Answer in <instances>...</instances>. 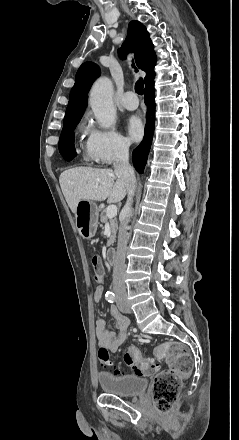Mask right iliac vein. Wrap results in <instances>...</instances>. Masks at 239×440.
<instances>
[{
  "mask_svg": "<svg viewBox=\"0 0 239 440\" xmlns=\"http://www.w3.org/2000/svg\"><path fill=\"white\" fill-rule=\"evenodd\" d=\"M123 307H124V309L130 311V307L127 303H123Z\"/></svg>",
  "mask_w": 239,
  "mask_h": 440,
  "instance_id": "right-iliac-vein-1",
  "label": "right iliac vein"
}]
</instances>
